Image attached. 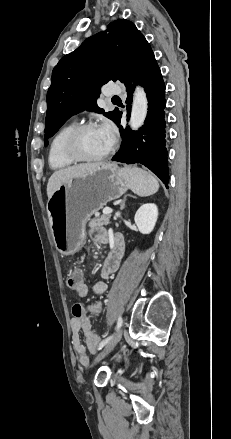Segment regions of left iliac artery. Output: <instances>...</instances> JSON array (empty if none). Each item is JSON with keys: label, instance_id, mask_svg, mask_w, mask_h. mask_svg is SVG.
Masks as SVG:
<instances>
[{"label": "left iliac artery", "instance_id": "left-iliac-artery-1", "mask_svg": "<svg viewBox=\"0 0 231 439\" xmlns=\"http://www.w3.org/2000/svg\"><path fill=\"white\" fill-rule=\"evenodd\" d=\"M123 323V319L121 316L118 317V321H117V330H119V328L122 326ZM113 338V335L107 337L106 339H104L100 345L98 349H102L111 339Z\"/></svg>", "mask_w": 231, "mask_h": 439}]
</instances>
